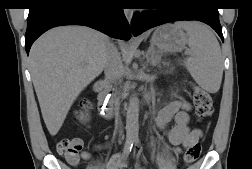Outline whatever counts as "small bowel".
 I'll list each match as a JSON object with an SVG mask.
<instances>
[{"label": "small bowel", "instance_id": "c3829d8e", "mask_svg": "<svg viewBox=\"0 0 252 169\" xmlns=\"http://www.w3.org/2000/svg\"><path fill=\"white\" fill-rule=\"evenodd\" d=\"M189 110L190 106L184 101H172L163 106L159 111L156 123L160 129H164L166 125L174 119L175 125L168 130L167 137L171 144L175 146V153L179 154L182 147H188L201 138L199 129L189 128ZM102 149V146H96L95 150ZM80 157L83 160H91L92 156L87 151H81ZM128 164L127 159L121 154L113 155L106 163L104 169H122ZM136 169H145L140 163L136 164Z\"/></svg>", "mask_w": 252, "mask_h": 169}]
</instances>
